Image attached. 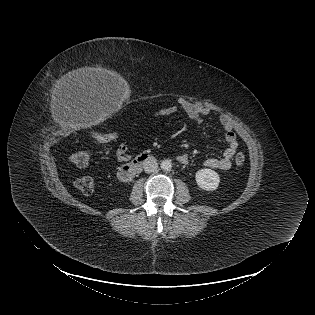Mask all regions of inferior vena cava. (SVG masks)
Masks as SVG:
<instances>
[{
	"label": "inferior vena cava",
	"mask_w": 315,
	"mask_h": 315,
	"mask_svg": "<svg viewBox=\"0 0 315 315\" xmlns=\"http://www.w3.org/2000/svg\"><path fill=\"white\" fill-rule=\"evenodd\" d=\"M144 171L146 173H154L158 171V163L155 160H148L144 164Z\"/></svg>",
	"instance_id": "602c4592"
}]
</instances>
